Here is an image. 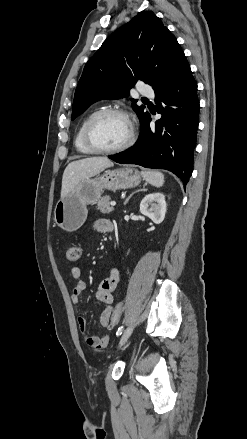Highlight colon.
<instances>
[{"label": "colon", "mask_w": 247, "mask_h": 439, "mask_svg": "<svg viewBox=\"0 0 247 439\" xmlns=\"http://www.w3.org/2000/svg\"><path fill=\"white\" fill-rule=\"evenodd\" d=\"M66 257L70 262L78 261V259L80 258V249L77 246L69 247L66 250ZM122 313H123V303L120 302L113 307L110 316V323H109L111 327H114L119 323Z\"/></svg>", "instance_id": "1"}]
</instances>
